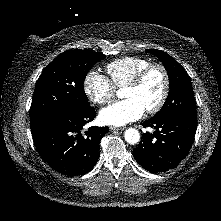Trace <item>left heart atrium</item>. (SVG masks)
Segmentation results:
<instances>
[{
	"label": "left heart atrium",
	"instance_id": "1",
	"mask_svg": "<svg viewBox=\"0 0 221 221\" xmlns=\"http://www.w3.org/2000/svg\"><path fill=\"white\" fill-rule=\"evenodd\" d=\"M144 111L136 99L126 98L102 109L99 118L106 125L122 126L139 119Z\"/></svg>",
	"mask_w": 221,
	"mask_h": 221
}]
</instances>
